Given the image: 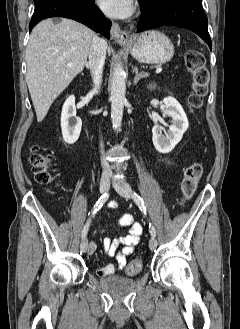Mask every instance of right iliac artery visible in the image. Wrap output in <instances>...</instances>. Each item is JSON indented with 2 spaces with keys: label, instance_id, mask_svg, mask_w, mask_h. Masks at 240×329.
I'll list each match as a JSON object with an SVG mask.
<instances>
[{
  "label": "right iliac artery",
  "instance_id": "obj_1",
  "mask_svg": "<svg viewBox=\"0 0 240 329\" xmlns=\"http://www.w3.org/2000/svg\"><path fill=\"white\" fill-rule=\"evenodd\" d=\"M109 198V193H104L99 199L98 201L96 202V204L94 205L91 213L90 214V217H89V220L87 221V223L85 224L83 230H82V238H85L86 235H87V232H88V229H89V225H90V220H91V217H93L95 215V213L103 206V204L107 201V199Z\"/></svg>",
  "mask_w": 240,
  "mask_h": 329
}]
</instances>
